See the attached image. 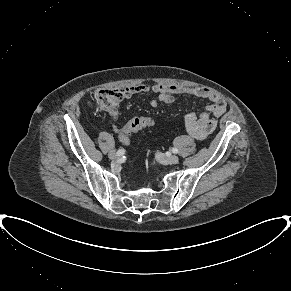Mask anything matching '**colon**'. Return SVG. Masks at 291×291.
Instances as JSON below:
<instances>
[{"label": "colon", "mask_w": 291, "mask_h": 291, "mask_svg": "<svg viewBox=\"0 0 291 291\" xmlns=\"http://www.w3.org/2000/svg\"><path fill=\"white\" fill-rule=\"evenodd\" d=\"M123 97L124 89H100L94 93L91 103L96 105L99 109L107 111L113 107H116ZM153 124V119L148 116L134 117L123 128L120 134V141L123 144L128 145L130 142V136L133 133L141 129L148 128Z\"/></svg>", "instance_id": "1"}]
</instances>
